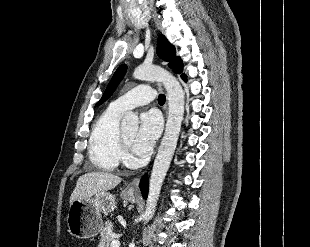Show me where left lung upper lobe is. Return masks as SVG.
Masks as SVG:
<instances>
[{"label":"left lung upper lobe","mask_w":310,"mask_h":247,"mask_svg":"<svg viewBox=\"0 0 310 247\" xmlns=\"http://www.w3.org/2000/svg\"><path fill=\"white\" fill-rule=\"evenodd\" d=\"M175 52V47L171 45L163 35H160L157 42V55L164 61L169 62V67L172 68L176 73H181L183 69L182 60L180 57H176ZM126 70V65H121L116 70L101 100L99 101V104H102L111 96L120 81L123 79Z\"/></svg>","instance_id":"obj_1"}]
</instances>
